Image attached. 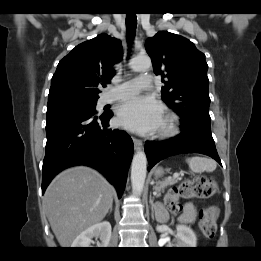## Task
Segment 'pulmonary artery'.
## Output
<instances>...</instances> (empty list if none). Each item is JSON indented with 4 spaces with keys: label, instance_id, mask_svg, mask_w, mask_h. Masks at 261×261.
<instances>
[{
    "label": "pulmonary artery",
    "instance_id": "1",
    "mask_svg": "<svg viewBox=\"0 0 261 261\" xmlns=\"http://www.w3.org/2000/svg\"><path fill=\"white\" fill-rule=\"evenodd\" d=\"M152 87V76L140 74L139 76L117 85L105 92L102 96V103H110L115 100L130 98L138 93L140 89H150Z\"/></svg>",
    "mask_w": 261,
    "mask_h": 261
}]
</instances>
